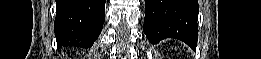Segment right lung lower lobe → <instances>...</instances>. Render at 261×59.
<instances>
[{
  "label": "right lung lower lobe",
  "instance_id": "98d812e1",
  "mask_svg": "<svg viewBox=\"0 0 261 59\" xmlns=\"http://www.w3.org/2000/svg\"><path fill=\"white\" fill-rule=\"evenodd\" d=\"M105 2L106 0H56L54 30L58 47H91L103 27Z\"/></svg>",
  "mask_w": 261,
  "mask_h": 59
}]
</instances>
